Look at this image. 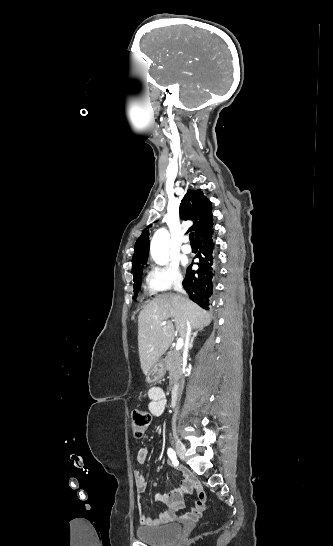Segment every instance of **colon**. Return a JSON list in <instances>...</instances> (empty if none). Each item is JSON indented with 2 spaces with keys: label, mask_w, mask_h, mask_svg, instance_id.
<instances>
[{
  "label": "colon",
  "mask_w": 333,
  "mask_h": 546,
  "mask_svg": "<svg viewBox=\"0 0 333 546\" xmlns=\"http://www.w3.org/2000/svg\"><path fill=\"white\" fill-rule=\"evenodd\" d=\"M151 422V413L144 409H135L132 413V431L136 438H141Z\"/></svg>",
  "instance_id": "1"
}]
</instances>
